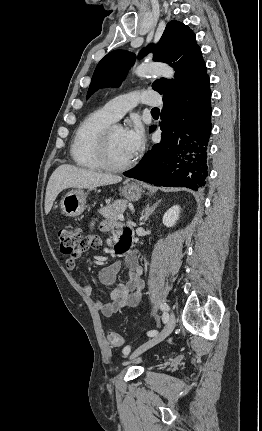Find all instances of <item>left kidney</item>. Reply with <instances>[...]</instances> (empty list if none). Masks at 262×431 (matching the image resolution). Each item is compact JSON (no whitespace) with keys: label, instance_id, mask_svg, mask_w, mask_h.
<instances>
[{"label":"left kidney","instance_id":"obj_1","mask_svg":"<svg viewBox=\"0 0 262 431\" xmlns=\"http://www.w3.org/2000/svg\"><path fill=\"white\" fill-rule=\"evenodd\" d=\"M180 215V206L171 207L163 216V224L167 227H173Z\"/></svg>","mask_w":262,"mask_h":431}]
</instances>
